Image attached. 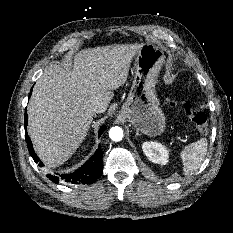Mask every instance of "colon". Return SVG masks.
I'll return each instance as SVG.
<instances>
[{
	"label": "colon",
	"instance_id": "colon-1",
	"mask_svg": "<svg viewBox=\"0 0 233 233\" xmlns=\"http://www.w3.org/2000/svg\"><path fill=\"white\" fill-rule=\"evenodd\" d=\"M168 103L172 107L180 108L195 124V127L200 134L205 135L208 133L209 124L207 114L204 111L197 109L191 100L177 101L171 99Z\"/></svg>",
	"mask_w": 233,
	"mask_h": 233
}]
</instances>
